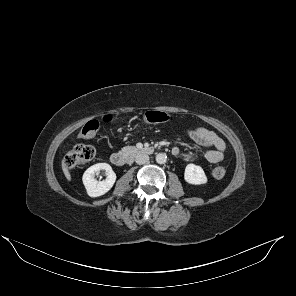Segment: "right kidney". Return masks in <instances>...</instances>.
Masks as SVG:
<instances>
[{"instance_id":"ca27d5eb","label":"right kidney","mask_w":296,"mask_h":296,"mask_svg":"<svg viewBox=\"0 0 296 296\" xmlns=\"http://www.w3.org/2000/svg\"><path fill=\"white\" fill-rule=\"evenodd\" d=\"M105 170L107 177L105 180L98 182L94 176L95 173ZM83 184L86 188L87 194L90 197H99L107 193L114 185L116 181V174L112 170L111 166L107 163H97L89 167L83 174Z\"/></svg>"}]
</instances>
